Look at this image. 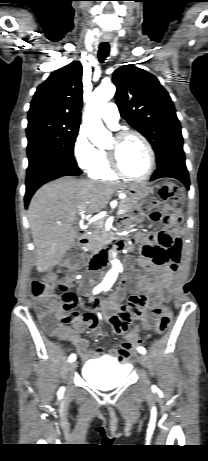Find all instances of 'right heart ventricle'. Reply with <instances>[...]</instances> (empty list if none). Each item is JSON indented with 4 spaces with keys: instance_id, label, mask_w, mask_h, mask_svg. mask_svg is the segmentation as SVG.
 Returning <instances> with one entry per match:
<instances>
[{
    "instance_id": "obj_1",
    "label": "right heart ventricle",
    "mask_w": 208,
    "mask_h": 461,
    "mask_svg": "<svg viewBox=\"0 0 208 461\" xmlns=\"http://www.w3.org/2000/svg\"><path fill=\"white\" fill-rule=\"evenodd\" d=\"M88 175L92 179L113 181L117 175L111 170L108 157L105 151L97 150V158L94 164L88 169Z\"/></svg>"
}]
</instances>
